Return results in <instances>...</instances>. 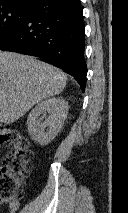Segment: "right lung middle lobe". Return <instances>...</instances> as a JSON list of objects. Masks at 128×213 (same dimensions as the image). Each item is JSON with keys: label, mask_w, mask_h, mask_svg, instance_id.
<instances>
[{"label": "right lung middle lobe", "mask_w": 128, "mask_h": 213, "mask_svg": "<svg viewBox=\"0 0 128 213\" xmlns=\"http://www.w3.org/2000/svg\"><path fill=\"white\" fill-rule=\"evenodd\" d=\"M30 9L31 7L18 5L0 7V41L23 24Z\"/></svg>", "instance_id": "1"}]
</instances>
